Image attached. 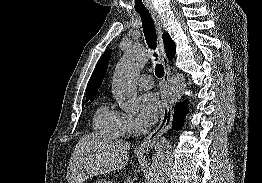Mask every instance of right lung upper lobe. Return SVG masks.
Instances as JSON below:
<instances>
[{
  "label": "right lung upper lobe",
  "instance_id": "cb5924a9",
  "mask_svg": "<svg viewBox=\"0 0 262 183\" xmlns=\"http://www.w3.org/2000/svg\"><path fill=\"white\" fill-rule=\"evenodd\" d=\"M163 42L165 44L164 48H165L166 55L168 59L171 60L176 52L175 43L167 33L163 34ZM110 55H111V50L105 52L97 62L87 85L86 99H94V96H96L97 90L100 87L104 75L106 73Z\"/></svg>",
  "mask_w": 262,
  "mask_h": 183
}]
</instances>
